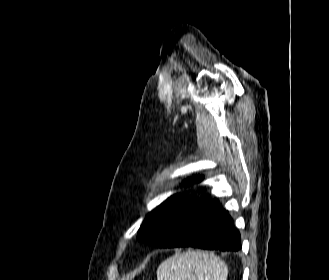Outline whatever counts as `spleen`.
I'll return each mask as SVG.
<instances>
[{"mask_svg": "<svg viewBox=\"0 0 329 280\" xmlns=\"http://www.w3.org/2000/svg\"><path fill=\"white\" fill-rule=\"evenodd\" d=\"M227 265L212 252L188 250L163 261L157 280H227Z\"/></svg>", "mask_w": 329, "mask_h": 280, "instance_id": "1", "label": "spleen"}]
</instances>
